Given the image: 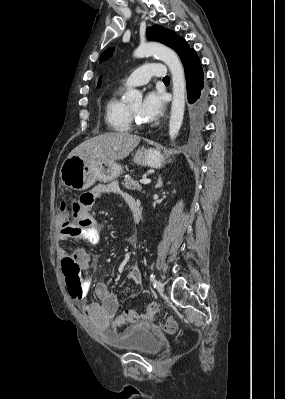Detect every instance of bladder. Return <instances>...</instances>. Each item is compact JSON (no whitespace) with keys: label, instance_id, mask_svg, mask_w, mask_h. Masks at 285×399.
<instances>
[{"label":"bladder","instance_id":"31cf9c89","mask_svg":"<svg viewBox=\"0 0 285 399\" xmlns=\"http://www.w3.org/2000/svg\"><path fill=\"white\" fill-rule=\"evenodd\" d=\"M107 336L108 345L119 351L155 355L161 349V344L154 334L142 326L132 327L118 336L112 334H107Z\"/></svg>","mask_w":285,"mask_h":399}]
</instances>
